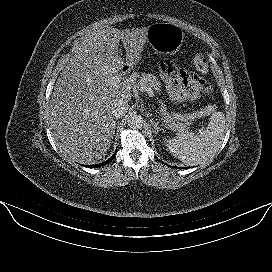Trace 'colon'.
<instances>
[{"instance_id": "5ec220e1", "label": "colon", "mask_w": 272, "mask_h": 272, "mask_svg": "<svg viewBox=\"0 0 272 272\" xmlns=\"http://www.w3.org/2000/svg\"><path fill=\"white\" fill-rule=\"evenodd\" d=\"M194 65L196 69L201 72L205 73L207 71V63L204 59L202 54H196L194 57ZM216 105H208L200 110L197 111H182L179 108H174L172 111L173 118L178 122H191L193 120L205 117L210 115L214 111H216Z\"/></svg>"}]
</instances>
